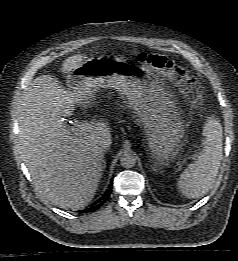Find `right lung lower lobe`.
<instances>
[{"instance_id":"right-lung-lower-lobe-1","label":"right lung lower lobe","mask_w":238,"mask_h":261,"mask_svg":"<svg viewBox=\"0 0 238 261\" xmlns=\"http://www.w3.org/2000/svg\"><path fill=\"white\" fill-rule=\"evenodd\" d=\"M110 197V193L107 192V194H105L103 196V199H101L102 201L100 202V204L97 205V207L101 206L108 198ZM95 207L91 208V209H94Z\"/></svg>"}]
</instances>
